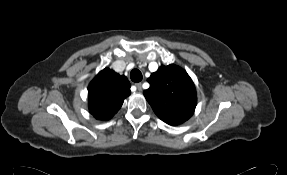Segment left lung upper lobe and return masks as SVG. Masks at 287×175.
Returning a JSON list of instances; mask_svg holds the SVG:
<instances>
[{"label":"left lung upper lobe","mask_w":287,"mask_h":175,"mask_svg":"<svg viewBox=\"0 0 287 175\" xmlns=\"http://www.w3.org/2000/svg\"><path fill=\"white\" fill-rule=\"evenodd\" d=\"M144 96L155 114L169 125L187 121L196 107V90L185 70L174 64L161 66L147 79Z\"/></svg>","instance_id":"5c2ea615"}]
</instances>
